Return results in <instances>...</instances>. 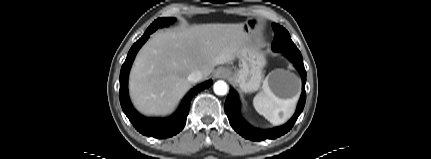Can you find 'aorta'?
<instances>
[{
    "instance_id": "aorta-1",
    "label": "aorta",
    "mask_w": 431,
    "mask_h": 159,
    "mask_svg": "<svg viewBox=\"0 0 431 159\" xmlns=\"http://www.w3.org/2000/svg\"><path fill=\"white\" fill-rule=\"evenodd\" d=\"M213 89L217 95H225L228 91V86L226 82L219 80L214 84Z\"/></svg>"
}]
</instances>
